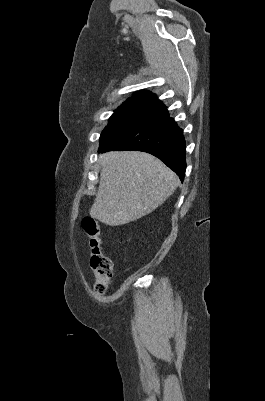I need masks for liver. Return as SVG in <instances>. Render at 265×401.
I'll return each mask as SVG.
<instances>
[{
  "label": "liver",
  "mask_w": 265,
  "mask_h": 401,
  "mask_svg": "<svg viewBox=\"0 0 265 401\" xmlns=\"http://www.w3.org/2000/svg\"><path fill=\"white\" fill-rule=\"evenodd\" d=\"M100 180L90 209L93 219L117 227L153 213L178 186V176L148 152L100 154Z\"/></svg>",
  "instance_id": "liver-1"
}]
</instances>
